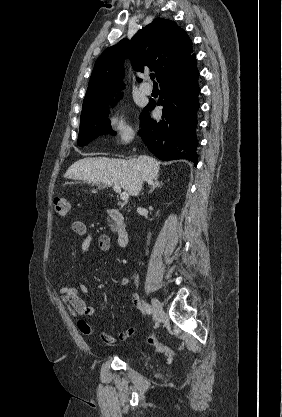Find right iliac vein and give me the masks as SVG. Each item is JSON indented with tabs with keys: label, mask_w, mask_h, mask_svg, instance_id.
<instances>
[{
	"label": "right iliac vein",
	"mask_w": 282,
	"mask_h": 417,
	"mask_svg": "<svg viewBox=\"0 0 282 417\" xmlns=\"http://www.w3.org/2000/svg\"><path fill=\"white\" fill-rule=\"evenodd\" d=\"M152 308H153V318L154 320H157L160 317V314L162 312V305L158 299L156 298L152 299Z\"/></svg>",
	"instance_id": "obj_1"
}]
</instances>
